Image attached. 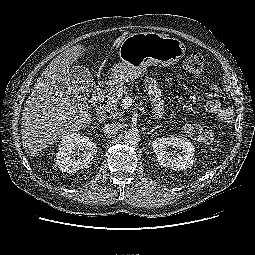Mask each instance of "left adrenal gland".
I'll list each match as a JSON object with an SVG mask.
<instances>
[{
	"instance_id": "a2214340",
	"label": "left adrenal gland",
	"mask_w": 255,
	"mask_h": 255,
	"mask_svg": "<svg viewBox=\"0 0 255 255\" xmlns=\"http://www.w3.org/2000/svg\"><path fill=\"white\" fill-rule=\"evenodd\" d=\"M158 127H159V126L153 127V129L150 130V131L148 132V134H152V132H153L155 129H157Z\"/></svg>"
}]
</instances>
